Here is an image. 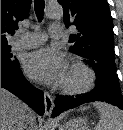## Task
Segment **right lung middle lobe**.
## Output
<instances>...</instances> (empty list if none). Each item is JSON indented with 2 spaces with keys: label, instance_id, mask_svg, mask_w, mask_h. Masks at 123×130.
Wrapping results in <instances>:
<instances>
[{
  "label": "right lung middle lobe",
  "instance_id": "obj_1",
  "mask_svg": "<svg viewBox=\"0 0 123 130\" xmlns=\"http://www.w3.org/2000/svg\"><path fill=\"white\" fill-rule=\"evenodd\" d=\"M11 47L8 44H1V62L17 66L20 63L17 59L13 58V55L10 53Z\"/></svg>",
  "mask_w": 123,
  "mask_h": 130
}]
</instances>
